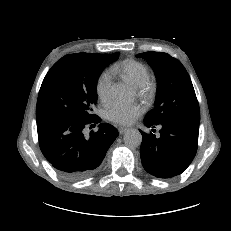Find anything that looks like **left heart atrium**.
<instances>
[{"label":"left heart atrium","mask_w":231,"mask_h":231,"mask_svg":"<svg viewBox=\"0 0 231 231\" xmlns=\"http://www.w3.org/2000/svg\"><path fill=\"white\" fill-rule=\"evenodd\" d=\"M142 113V107L139 104H123L120 102L112 103L107 109V117L118 124L128 125Z\"/></svg>","instance_id":"obj_1"}]
</instances>
